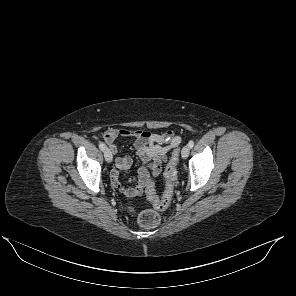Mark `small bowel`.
I'll return each mask as SVG.
<instances>
[{"mask_svg":"<svg viewBox=\"0 0 296 296\" xmlns=\"http://www.w3.org/2000/svg\"><path fill=\"white\" fill-rule=\"evenodd\" d=\"M118 137H132L135 139L133 148L142 164L138 178L129 179V182H133L134 186L125 187L120 182L119 173L129 169L132 160L128 155L116 157L115 166L110 175L111 183L114 188L118 189L127 198L138 196L143 192L149 177L148 169L154 175L160 174L167 154L181 142V138L171 130L163 133H153L145 130L109 128L104 131L102 138L112 154L117 153L116 140ZM163 144L166 145L163 146Z\"/></svg>","mask_w":296,"mask_h":296,"instance_id":"obj_1","label":"small bowel"}]
</instances>
